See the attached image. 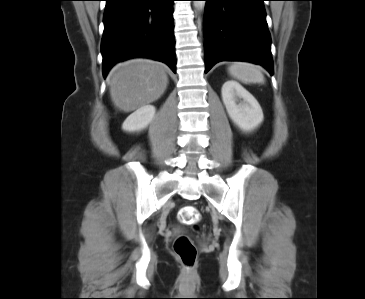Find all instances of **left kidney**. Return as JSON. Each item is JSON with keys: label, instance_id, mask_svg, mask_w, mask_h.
I'll list each match as a JSON object with an SVG mask.
<instances>
[{"label": "left kidney", "instance_id": "left-kidney-1", "mask_svg": "<svg viewBox=\"0 0 365 299\" xmlns=\"http://www.w3.org/2000/svg\"><path fill=\"white\" fill-rule=\"evenodd\" d=\"M222 101L231 120L243 131L256 129L264 119L258 101L235 81L223 84Z\"/></svg>", "mask_w": 365, "mask_h": 299}]
</instances>
